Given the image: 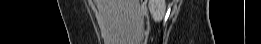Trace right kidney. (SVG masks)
<instances>
[{
  "label": "right kidney",
  "instance_id": "obj_1",
  "mask_svg": "<svg viewBox=\"0 0 261 44\" xmlns=\"http://www.w3.org/2000/svg\"><path fill=\"white\" fill-rule=\"evenodd\" d=\"M148 8L155 22H159L164 17L166 11L165 0H149Z\"/></svg>",
  "mask_w": 261,
  "mask_h": 44
}]
</instances>
